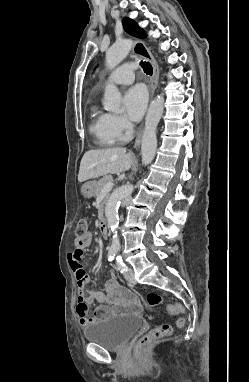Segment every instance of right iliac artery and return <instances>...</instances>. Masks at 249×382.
Instances as JSON below:
<instances>
[{
  "label": "right iliac artery",
  "mask_w": 249,
  "mask_h": 382,
  "mask_svg": "<svg viewBox=\"0 0 249 382\" xmlns=\"http://www.w3.org/2000/svg\"><path fill=\"white\" fill-rule=\"evenodd\" d=\"M115 255H116V250H110L108 252V260L112 261L114 259Z\"/></svg>",
  "instance_id": "1"
}]
</instances>
